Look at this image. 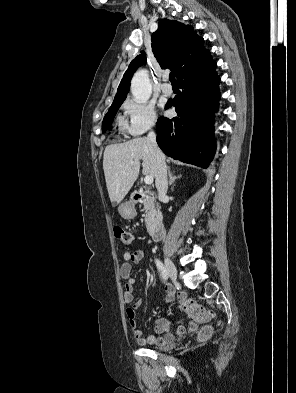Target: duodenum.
Returning a JSON list of instances; mask_svg holds the SVG:
<instances>
[{"label":"duodenum","instance_id":"duodenum-1","mask_svg":"<svg viewBox=\"0 0 296 393\" xmlns=\"http://www.w3.org/2000/svg\"><path fill=\"white\" fill-rule=\"evenodd\" d=\"M147 194H154V193L138 192L136 193V197L141 198ZM164 233H165V229H164L163 222L161 220H157L151 231L152 239L155 241H159L164 237Z\"/></svg>","mask_w":296,"mask_h":393}]
</instances>
